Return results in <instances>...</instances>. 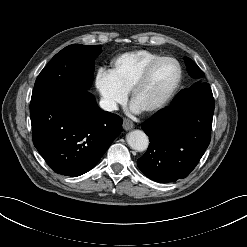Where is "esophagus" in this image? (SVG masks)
I'll return each mask as SVG.
<instances>
[{"label": "esophagus", "instance_id": "obj_1", "mask_svg": "<svg viewBox=\"0 0 247 247\" xmlns=\"http://www.w3.org/2000/svg\"><path fill=\"white\" fill-rule=\"evenodd\" d=\"M134 127V124L131 120L129 119H123V128L128 131L131 130Z\"/></svg>", "mask_w": 247, "mask_h": 247}]
</instances>
